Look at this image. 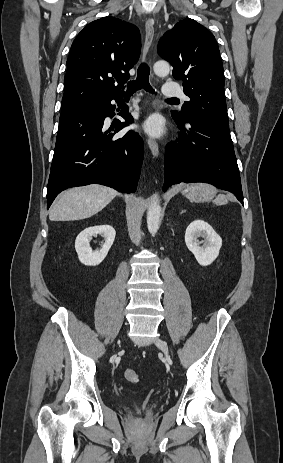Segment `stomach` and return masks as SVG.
Instances as JSON below:
<instances>
[{
    "mask_svg": "<svg viewBox=\"0 0 283 463\" xmlns=\"http://www.w3.org/2000/svg\"><path fill=\"white\" fill-rule=\"evenodd\" d=\"M214 192L215 189L211 185L204 183L186 186L181 191L184 196L195 202H204L210 200Z\"/></svg>",
    "mask_w": 283,
    "mask_h": 463,
    "instance_id": "0dacf381",
    "label": "stomach"
}]
</instances>
